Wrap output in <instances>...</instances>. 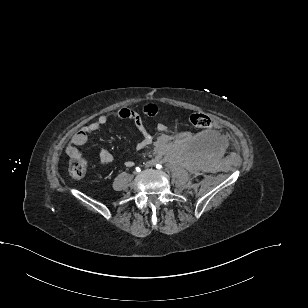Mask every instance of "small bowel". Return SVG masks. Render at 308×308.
<instances>
[{"mask_svg": "<svg viewBox=\"0 0 308 308\" xmlns=\"http://www.w3.org/2000/svg\"><path fill=\"white\" fill-rule=\"evenodd\" d=\"M158 113L159 108L157 105L147 104L144 106L142 113L129 107H123L111 114L101 115L95 121L83 126L72 136L71 143L66 148V152L70 157H81L79 147L86 143L88 135L98 132L102 126L106 125L112 119L130 120L135 125L142 135V138L136 145L138 150L147 148L152 144L158 148H164L172 139L171 135L167 133V126L164 123H157L156 130L161 134L155 140L144 124V117L152 118ZM98 157L103 165H107L114 160L113 154L106 149L100 150ZM125 165L127 167H132L134 162L132 160H127Z\"/></svg>", "mask_w": 308, "mask_h": 308, "instance_id": "c3829d8e", "label": "small bowel"}]
</instances>
